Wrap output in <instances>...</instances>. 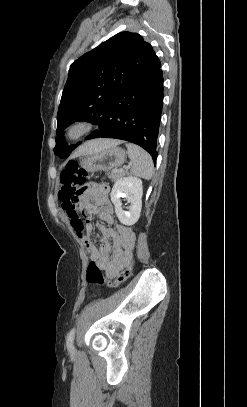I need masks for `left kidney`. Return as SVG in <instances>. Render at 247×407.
<instances>
[{
  "label": "left kidney",
  "mask_w": 247,
  "mask_h": 407,
  "mask_svg": "<svg viewBox=\"0 0 247 407\" xmlns=\"http://www.w3.org/2000/svg\"><path fill=\"white\" fill-rule=\"evenodd\" d=\"M142 194V181L139 178L127 176L114 183L110 197L115 206V213L122 224L131 226L138 221L142 208ZM121 198H125L130 204L128 211L123 210Z\"/></svg>",
  "instance_id": "left-kidney-1"
}]
</instances>
